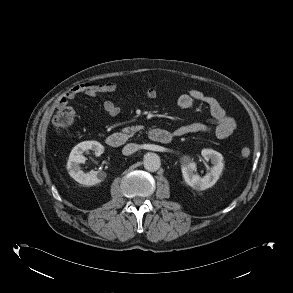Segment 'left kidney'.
I'll use <instances>...</instances> for the list:
<instances>
[{"label": "left kidney", "instance_id": "1", "mask_svg": "<svg viewBox=\"0 0 293 293\" xmlns=\"http://www.w3.org/2000/svg\"><path fill=\"white\" fill-rule=\"evenodd\" d=\"M203 158L206 161H211L213 166L205 176L200 177L194 174V169L196 164L194 162L183 163L181 166V171L185 182L195 190H206L212 187L220 177L223 170V156L212 149H203L201 151Z\"/></svg>", "mask_w": 293, "mask_h": 293}]
</instances>
